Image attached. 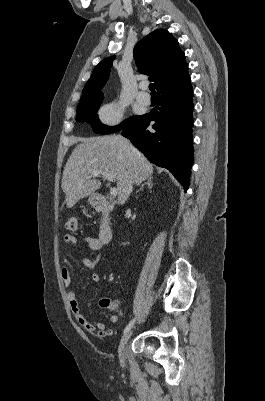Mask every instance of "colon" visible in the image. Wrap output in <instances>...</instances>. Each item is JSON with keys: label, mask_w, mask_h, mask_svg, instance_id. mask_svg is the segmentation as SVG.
I'll list each match as a JSON object with an SVG mask.
<instances>
[{"label": "colon", "mask_w": 265, "mask_h": 401, "mask_svg": "<svg viewBox=\"0 0 265 401\" xmlns=\"http://www.w3.org/2000/svg\"><path fill=\"white\" fill-rule=\"evenodd\" d=\"M77 219L75 217H69L66 222V228L69 231H75L77 229ZM103 307L107 308L110 311H116L119 308V304L117 301H111L108 299H104L102 301Z\"/></svg>", "instance_id": "colon-1"}]
</instances>
